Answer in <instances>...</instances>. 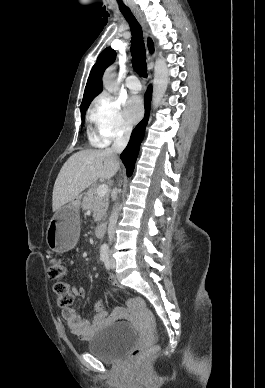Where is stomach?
<instances>
[{
	"label": "stomach",
	"mask_w": 265,
	"mask_h": 388,
	"mask_svg": "<svg viewBox=\"0 0 265 388\" xmlns=\"http://www.w3.org/2000/svg\"><path fill=\"white\" fill-rule=\"evenodd\" d=\"M79 202L73 201L58 209L51 219L46 242L54 252L71 250L79 238Z\"/></svg>",
	"instance_id": "stomach-1"
}]
</instances>
